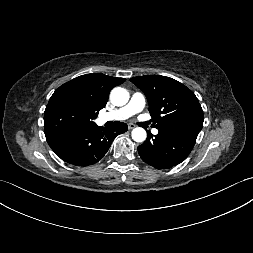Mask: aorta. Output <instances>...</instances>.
<instances>
[{
  "instance_id": "obj_1",
  "label": "aorta",
  "mask_w": 253,
  "mask_h": 253,
  "mask_svg": "<svg viewBox=\"0 0 253 253\" xmlns=\"http://www.w3.org/2000/svg\"><path fill=\"white\" fill-rule=\"evenodd\" d=\"M110 99L114 105L123 106L129 100V93L124 88L116 87L111 91ZM146 136V131L141 127H137L132 130V139L136 142L145 141Z\"/></svg>"
}]
</instances>
